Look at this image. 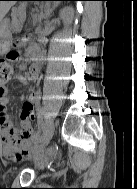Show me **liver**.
Listing matches in <instances>:
<instances>
[{
    "mask_svg": "<svg viewBox=\"0 0 137 189\" xmlns=\"http://www.w3.org/2000/svg\"><path fill=\"white\" fill-rule=\"evenodd\" d=\"M15 4V1H0V22L9 11V9Z\"/></svg>",
    "mask_w": 137,
    "mask_h": 189,
    "instance_id": "obj_1",
    "label": "liver"
}]
</instances>
